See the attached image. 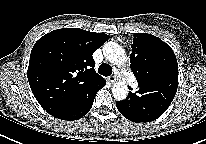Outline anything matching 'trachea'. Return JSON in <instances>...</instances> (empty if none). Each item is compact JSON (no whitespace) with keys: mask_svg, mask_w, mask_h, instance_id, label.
<instances>
[{"mask_svg":"<svg viewBox=\"0 0 206 144\" xmlns=\"http://www.w3.org/2000/svg\"><path fill=\"white\" fill-rule=\"evenodd\" d=\"M98 72L103 76H110L112 74V67L103 63L99 66Z\"/></svg>","mask_w":206,"mask_h":144,"instance_id":"1","label":"trachea"}]
</instances>
